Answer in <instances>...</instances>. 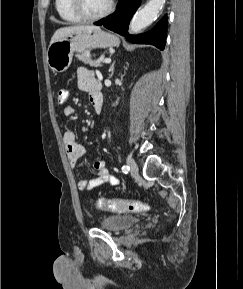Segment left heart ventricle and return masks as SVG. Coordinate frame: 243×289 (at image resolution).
<instances>
[{
    "label": "left heart ventricle",
    "instance_id": "obj_1",
    "mask_svg": "<svg viewBox=\"0 0 243 289\" xmlns=\"http://www.w3.org/2000/svg\"><path fill=\"white\" fill-rule=\"evenodd\" d=\"M82 1L85 11L89 14L100 13L104 11L109 4V0H82Z\"/></svg>",
    "mask_w": 243,
    "mask_h": 289
}]
</instances>
